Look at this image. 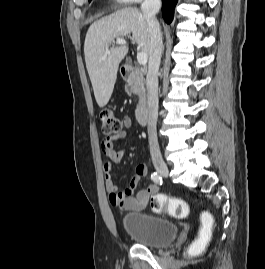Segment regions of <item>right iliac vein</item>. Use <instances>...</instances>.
Here are the masks:
<instances>
[{
    "label": "right iliac vein",
    "instance_id": "1",
    "mask_svg": "<svg viewBox=\"0 0 265 269\" xmlns=\"http://www.w3.org/2000/svg\"><path fill=\"white\" fill-rule=\"evenodd\" d=\"M154 167L157 172L161 175L166 177L169 173L167 164L162 159H156L153 161Z\"/></svg>",
    "mask_w": 265,
    "mask_h": 269
}]
</instances>
